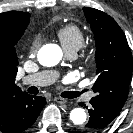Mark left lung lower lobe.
Masks as SVG:
<instances>
[{"label": "left lung lower lobe", "instance_id": "0a47b994", "mask_svg": "<svg viewBox=\"0 0 133 133\" xmlns=\"http://www.w3.org/2000/svg\"><path fill=\"white\" fill-rule=\"evenodd\" d=\"M90 104V119L80 133H99L112 123L122 109L99 98H92Z\"/></svg>", "mask_w": 133, "mask_h": 133}]
</instances>
